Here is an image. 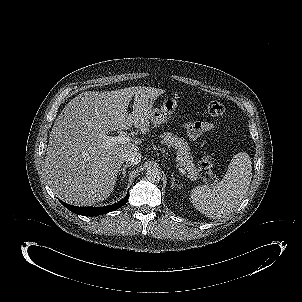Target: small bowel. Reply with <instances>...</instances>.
Returning <instances> with one entry per match:
<instances>
[{
    "label": "small bowel",
    "mask_w": 302,
    "mask_h": 302,
    "mask_svg": "<svg viewBox=\"0 0 302 302\" xmlns=\"http://www.w3.org/2000/svg\"><path fill=\"white\" fill-rule=\"evenodd\" d=\"M215 125L205 121H192L185 124L187 136L197 139L214 130Z\"/></svg>",
    "instance_id": "1"
}]
</instances>
